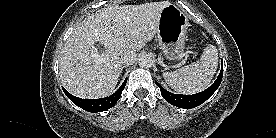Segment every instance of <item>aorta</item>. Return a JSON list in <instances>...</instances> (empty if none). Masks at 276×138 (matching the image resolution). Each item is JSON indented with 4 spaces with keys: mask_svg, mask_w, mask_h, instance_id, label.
Instances as JSON below:
<instances>
[{
    "mask_svg": "<svg viewBox=\"0 0 276 138\" xmlns=\"http://www.w3.org/2000/svg\"><path fill=\"white\" fill-rule=\"evenodd\" d=\"M139 66L142 68H150L153 65V59L149 55H142L139 58Z\"/></svg>",
    "mask_w": 276,
    "mask_h": 138,
    "instance_id": "aorta-1",
    "label": "aorta"
}]
</instances>
